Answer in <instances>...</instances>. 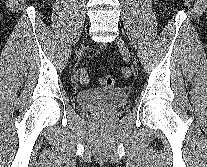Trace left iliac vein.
Returning <instances> with one entry per match:
<instances>
[{"label": "left iliac vein", "mask_w": 207, "mask_h": 167, "mask_svg": "<svg viewBox=\"0 0 207 167\" xmlns=\"http://www.w3.org/2000/svg\"><path fill=\"white\" fill-rule=\"evenodd\" d=\"M116 43H117V45L120 47V49L123 50V51L125 52V54H126L127 56H130L129 49H128V47L126 46V44H125V42H124L123 39L118 38V39L116 40Z\"/></svg>", "instance_id": "obj_1"}]
</instances>
